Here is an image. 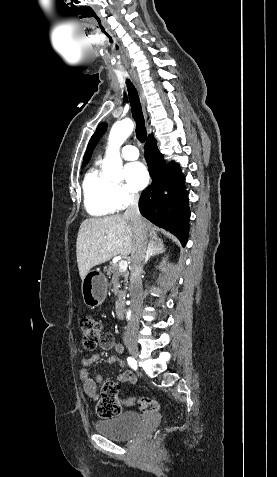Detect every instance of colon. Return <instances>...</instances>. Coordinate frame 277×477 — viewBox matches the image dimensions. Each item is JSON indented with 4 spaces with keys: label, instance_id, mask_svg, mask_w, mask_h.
Here are the masks:
<instances>
[{
    "label": "colon",
    "instance_id": "1",
    "mask_svg": "<svg viewBox=\"0 0 277 477\" xmlns=\"http://www.w3.org/2000/svg\"><path fill=\"white\" fill-rule=\"evenodd\" d=\"M83 347L92 351L97 347L101 338L102 328L92 315H86L80 320ZM119 387L114 382H107L102 388L103 398L97 406L98 414L102 417H111L121 413L122 401L118 397ZM134 402V401H133ZM139 409L146 413H154L159 409V403L151 398L140 397L137 399Z\"/></svg>",
    "mask_w": 277,
    "mask_h": 477
}]
</instances>
